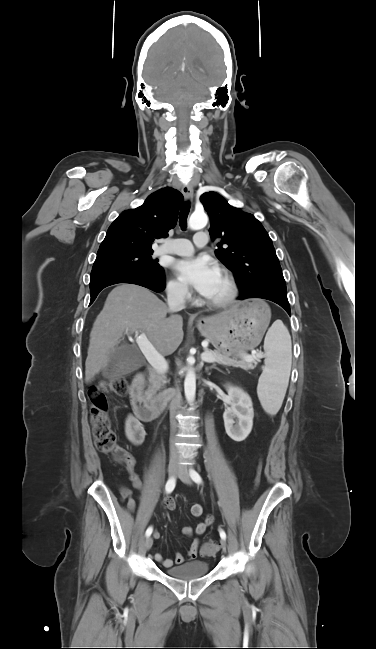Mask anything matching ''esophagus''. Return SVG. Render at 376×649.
Returning <instances> with one entry per match:
<instances>
[{"mask_svg":"<svg viewBox=\"0 0 376 649\" xmlns=\"http://www.w3.org/2000/svg\"><path fill=\"white\" fill-rule=\"evenodd\" d=\"M193 193L192 185L187 184L182 187V194L186 200H191L193 198Z\"/></svg>","mask_w":376,"mask_h":649,"instance_id":"obj_1","label":"esophagus"}]
</instances>
